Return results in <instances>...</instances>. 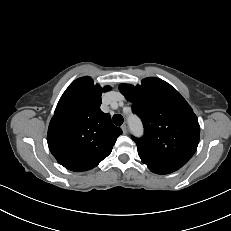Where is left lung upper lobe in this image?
I'll list each match as a JSON object with an SVG mask.
<instances>
[{
    "instance_id": "1",
    "label": "left lung upper lobe",
    "mask_w": 231,
    "mask_h": 231,
    "mask_svg": "<svg viewBox=\"0 0 231 231\" xmlns=\"http://www.w3.org/2000/svg\"><path fill=\"white\" fill-rule=\"evenodd\" d=\"M120 92L132 103L145 133L132 137L148 168L174 172L194 155L200 136L198 119L180 93L167 82L149 77L141 85L121 84Z\"/></svg>"
}]
</instances>
